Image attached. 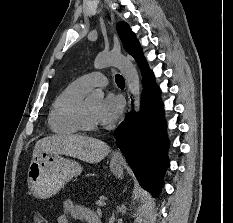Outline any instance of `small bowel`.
Listing matches in <instances>:
<instances>
[{
	"mask_svg": "<svg viewBox=\"0 0 233 223\" xmlns=\"http://www.w3.org/2000/svg\"><path fill=\"white\" fill-rule=\"evenodd\" d=\"M70 218L84 223H101L96 212L67 199L62 203V213L58 216L57 223H69Z\"/></svg>",
	"mask_w": 233,
	"mask_h": 223,
	"instance_id": "c3829d8e",
	"label": "small bowel"
}]
</instances>
